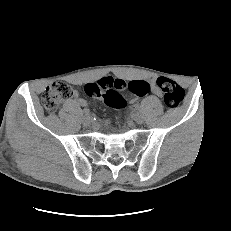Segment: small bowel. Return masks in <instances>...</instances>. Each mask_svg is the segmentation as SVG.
<instances>
[{"label":"small bowel","instance_id":"small-bowel-1","mask_svg":"<svg viewBox=\"0 0 231 231\" xmlns=\"http://www.w3.org/2000/svg\"><path fill=\"white\" fill-rule=\"evenodd\" d=\"M150 90H151L152 93H154L157 96L162 95V92L159 90V88L157 87V85L153 81L150 83ZM74 96H75V101H76V103L78 105H80V106H85L86 105L85 100H83L82 98H79L77 92L74 93Z\"/></svg>","mask_w":231,"mask_h":231}]
</instances>
